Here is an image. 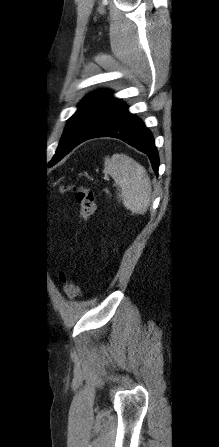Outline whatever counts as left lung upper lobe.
<instances>
[{"label":"left lung upper lobe","mask_w":219,"mask_h":447,"mask_svg":"<svg viewBox=\"0 0 219 447\" xmlns=\"http://www.w3.org/2000/svg\"><path fill=\"white\" fill-rule=\"evenodd\" d=\"M119 104L120 100L112 97L106 90L88 95L79 103L78 111L68 120L53 158L91 134Z\"/></svg>","instance_id":"5c2ea615"}]
</instances>
